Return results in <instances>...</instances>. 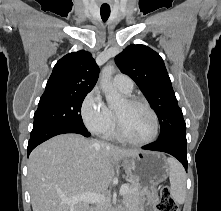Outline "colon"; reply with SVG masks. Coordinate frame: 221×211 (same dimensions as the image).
<instances>
[{
    "label": "colon",
    "mask_w": 221,
    "mask_h": 211,
    "mask_svg": "<svg viewBox=\"0 0 221 211\" xmlns=\"http://www.w3.org/2000/svg\"><path fill=\"white\" fill-rule=\"evenodd\" d=\"M158 211H179L178 205L171 195L168 186H164L160 190V199L157 204Z\"/></svg>",
    "instance_id": "colon-1"
}]
</instances>
